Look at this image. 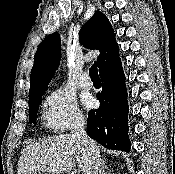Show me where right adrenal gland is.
<instances>
[{
  "label": "right adrenal gland",
  "instance_id": "2a0ac1e0",
  "mask_svg": "<svg viewBox=\"0 0 175 174\" xmlns=\"http://www.w3.org/2000/svg\"><path fill=\"white\" fill-rule=\"evenodd\" d=\"M101 174H106V173H105V167H104V161H102Z\"/></svg>",
  "mask_w": 175,
  "mask_h": 174
}]
</instances>
